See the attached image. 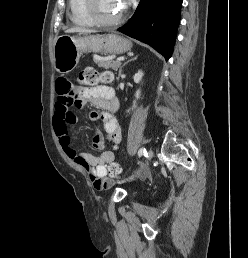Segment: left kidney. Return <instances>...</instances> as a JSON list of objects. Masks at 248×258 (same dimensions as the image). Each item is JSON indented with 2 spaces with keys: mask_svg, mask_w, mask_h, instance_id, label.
Wrapping results in <instances>:
<instances>
[{
  "mask_svg": "<svg viewBox=\"0 0 248 258\" xmlns=\"http://www.w3.org/2000/svg\"><path fill=\"white\" fill-rule=\"evenodd\" d=\"M142 77H143V72L140 70V71H138V73H136V74L134 75V77H133L134 82H135V83H139V82L141 81ZM139 94H140V92H139V90H137V92H136V94H135V97H136V98H139ZM133 107H135V101H134ZM128 112H129V110H128Z\"/></svg>",
  "mask_w": 248,
  "mask_h": 258,
  "instance_id": "obj_1",
  "label": "left kidney"
}]
</instances>
